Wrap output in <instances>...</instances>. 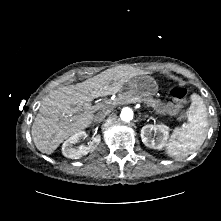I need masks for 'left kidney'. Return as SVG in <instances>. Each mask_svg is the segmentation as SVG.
Here are the masks:
<instances>
[{
  "instance_id": "5707ae66",
  "label": "left kidney",
  "mask_w": 221,
  "mask_h": 221,
  "mask_svg": "<svg viewBox=\"0 0 221 221\" xmlns=\"http://www.w3.org/2000/svg\"><path fill=\"white\" fill-rule=\"evenodd\" d=\"M152 132H154L158 137L156 140L152 138ZM141 139L142 142L150 148L153 149H162L168 139L169 130L168 127L164 124L159 125H145L141 129Z\"/></svg>"
}]
</instances>
